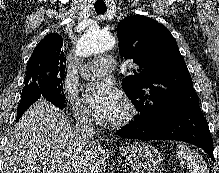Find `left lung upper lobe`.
<instances>
[{
	"label": "left lung upper lobe",
	"instance_id": "5c2ea615",
	"mask_svg": "<svg viewBox=\"0 0 219 173\" xmlns=\"http://www.w3.org/2000/svg\"><path fill=\"white\" fill-rule=\"evenodd\" d=\"M117 34L121 55L137 65L134 75L122 81L140 112L134 121L151 123L179 107L199 102L186 63L166 27L133 15L119 23Z\"/></svg>",
	"mask_w": 219,
	"mask_h": 173
}]
</instances>
